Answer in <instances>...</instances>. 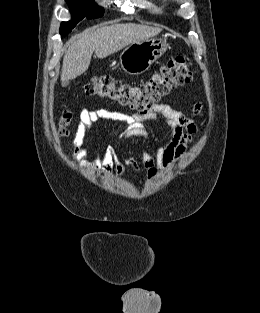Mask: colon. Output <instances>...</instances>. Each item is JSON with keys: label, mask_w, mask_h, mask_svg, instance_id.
Segmentation results:
<instances>
[{"label": "colon", "mask_w": 260, "mask_h": 313, "mask_svg": "<svg viewBox=\"0 0 260 313\" xmlns=\"http://www.w3.org/2000/svg\"><path fill=\"white\" fill-rule=\"evenodd\" d=\"M193 78L190 60L177 56L168 60L146 81L128 84L116 81L109 76L96 77L84 85L87 95L106 99L139 112L152 109L173 89L189 83ZM73 114L64 111L59 120L58 133L66 137L70 133Z\"/></svg>", "instance_id": "5ec220e1"}]
</instances>
